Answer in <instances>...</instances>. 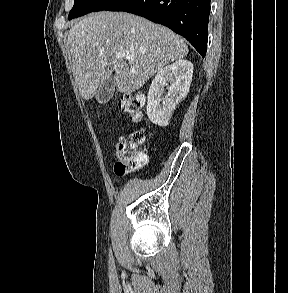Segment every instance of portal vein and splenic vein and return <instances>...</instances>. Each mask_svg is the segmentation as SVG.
Returning a JSON list of instances; mask_svg holds the SVG:
<instances>
[{
  "mask_svg": "<svg viewBox=\"0 0 288 293\" xmlns=\"http://www.w3.org/2000/svg\"><path fill=\"white\" fill-rule=\"evenodd\" d=\"M118 57L125 58L128 61H133L135 59L134 55L129 52H121L118 54Z\"/></svg>",
  "mask_w": 288,
  "mask_h": 293,
  "instance_id": "18ae733b",
  "label": "portal vein and splenic vein"
}]
</instances>
